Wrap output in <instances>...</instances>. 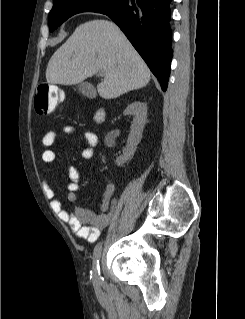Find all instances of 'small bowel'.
I'll return each instance as SVG.
<instances>
[{
	"label": "small bowel",
	"instance_id": "1",
	"mask_svg": "<svg viewBox=\"0 0 245 319\" xmlns=\"http://www.w3.org/2000/svg\"><path fill=\"white\" fill-rule=\"evenodd\" d=\"M63 131L68 135L76 133L75 127L71 125L65 126ZM77 136L83 139L87 144V147L82 151V157L84 159L92 158L94 148L98 143L97 135L94 132L87 130ZM55 140L56 132L53 130L47 131L42 138V144L46 148L42 152V161L45 164H51L55 160L56 153L51 149ZM67 174L69 177V183L67 184V190L69 192L68 200L72 205L71 211L64 209L62 201L55 198V192L48 183L45 184V195L51 200L52 209L58 214L61 220L68 223L71 231L74 232L79 239L93 243L98 239L100 234L111 221L112 214L109 212V207L115 186L112 182L107 183L100 207L101 212L99 214H95L78 204L76 191L79 189L81 179L78 169L74 166H69Z\"/></svg>",
	"mask_w": 245,
	"mask_h": 319
}]
</instances>
